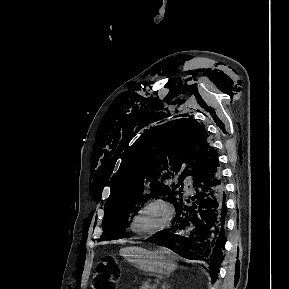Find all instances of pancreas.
<instances>
[{
	"label": "pancreas",
	"instance_id": "pancreas-1",
	"mask_svg": "<svg viewBox=\"0 0 289 289\" xmlns=\"http://www.w3.org/2000/svg\"><path fill=\"white\" fill-rule=\"evenodd\" d=\"M140 289H156L154 288V285L149 284V282L143 283Z\"/></svg>",
	"mask_w": 289,
	"mask_h": 289
}]
</instances>
